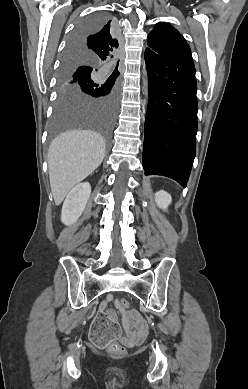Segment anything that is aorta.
<instances>
[{"label":"aorta","mask_w":248,"mask_h":389,"mask_svg":"<svg viewBox=\"0 0 248 389\" xmlns=\"http://www.w3.org/2000/svg\"><path fill=\"white\" fill-rule=\"evenodd\" d=\"M144 86H147V81L146 80H144Z\"/></svg>","instance_id":"aorta-1"}]
</instances>
